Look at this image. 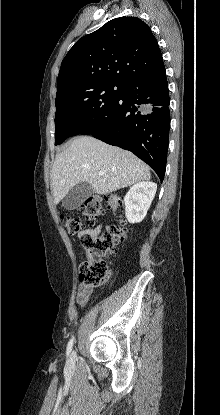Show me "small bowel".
Listing matches in <instances>:
<instances>
[{
    "label": "small bowel",
    "instance_id": "obj_1",
    "mask_svg": "<svg viewBox=\"0 0 220 415\" xmlns=\"http://www.w3.org/2000/svg\"><path fill=\"white\" fill-rule=\"evenodd\" d=\"M101 230V226H97L95 228L92 229H86L83 230L82 232H80L78 234V237L81 238L83 235L86 234H94L97 233ZM93 288L86 286L84 284H80L77 290V294H76V301L80 306H85L89 300L91 299V297L93 296Z\"/></svg>",
    "mask_w": 220,
    "mask_h": 415
}]
</instances>
